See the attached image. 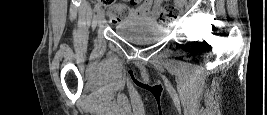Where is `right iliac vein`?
Returning <instances> with one entry per match:
<instances>
[{"label": "right iliac vein", "mask_w": 267, "mask_h": 115, "mask_svg": "<svg viewBox=\"0 0 267 115\" xmlns=\"http://www.w3.org/2000/svg\"><path fill=\"white\" fill-rule=\"evenodd\" d=\"M104 15H105L104 10H103V9H100V10L98 11V13H97V17H96L97 22H98L99 24H101V23L103 22V20H104Z\"/></svg>", "instance_id": "1"}]
</instances>
